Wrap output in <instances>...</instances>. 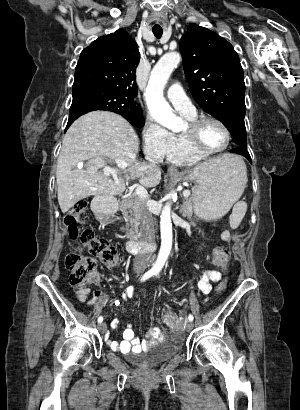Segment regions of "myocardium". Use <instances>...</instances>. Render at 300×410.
<instances>
[{"mask_svg":"<svg viewBox=\"0 0 300 410\" xmlns=\"http://www.w3.org/2000/svg\"><path fill=\"white\" fill-rule=\"evenodd\" d=\"M206 122H214L223 129V131L226 134V143L223 147L219 149H215V150H208L203 147L201 139H200V130L203 124H205ZM183 134L187 140V143L191 147V149L194 152L202 156H205V157L215 155V154L225 151L229 147L231 143V139H232L231 132L228 126L222 120H220L219 118H216L213 116H207V115L197 116L194 119L189 120L187 128L185 129Z\"/></svg>","mask_w":300,"mask_h":410,"instance_id":"f54148a6","label":"myocardium"}]
</instances>
